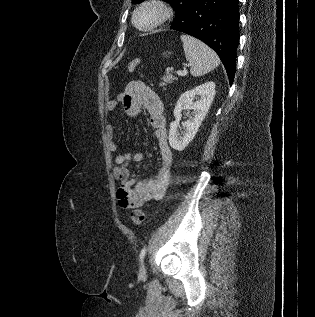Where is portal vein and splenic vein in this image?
I'll return each instance as SVG.
<instances>
[{
	"instance_id": "18ae733b",
	"label": "portal vein and splenic vein",
	"mask_w": 315,
	"mask_h": 317,
	"mask_svg": "<svg viewBox=\"0 0 315 317\" xmlns=\"http://www.w3.org/2000/svg\"><path fill=\"white\" fill-rule=\"evenodd\" d=\"M167 70L169 71L170 68H168ZM176 73L178 76H185V75H187L188 71L186 69H184L183 71H177Z\"/></svg>"
}]
</instances>
